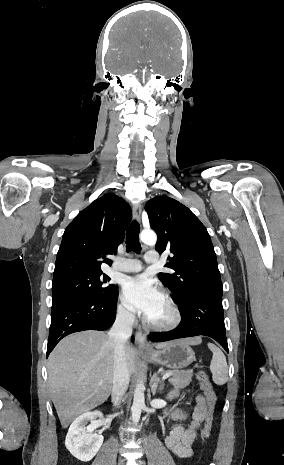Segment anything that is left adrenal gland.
I'll use <instances>...</instances> for the list:
<instances>
[{"instance_id": "left-adrenal-gland-1", "label": "left adrenal gland", "mask_w": 284, "mask_h": 465, "mask_svg": "<svg viewBox=\"0 0 284 465\" xmlns=\"http://www.w3.org/2000/svg\"><path fill=\"white\" fill-rule=\"evenodd\" d=\"M149 385L151 387L152 395H155L157 391H159V393H163L164 381H160V377H158L157 373H154L153 377H151Z\"/></svg>"}]
</instances>
